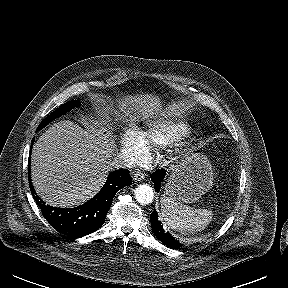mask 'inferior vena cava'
<instances>
[{
  "mask_svg": "<svg viewBox=\"0 0 288 288\" xmlns=\"http://www.w3.org/2000/svg\"><path fill=\"white\" fill-rule=\"evenodd\" d=\"M133 164H134L133 158L123 155L115 157L114 160L110 162V166H112L115 169L132 168Z\"/></svg>",
  "mask_w": 288,
  "mask_h": 288,
  "instance_id": "obj_1",
  "label": "inferior vena cava"
}]
</instances>
